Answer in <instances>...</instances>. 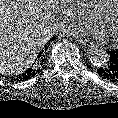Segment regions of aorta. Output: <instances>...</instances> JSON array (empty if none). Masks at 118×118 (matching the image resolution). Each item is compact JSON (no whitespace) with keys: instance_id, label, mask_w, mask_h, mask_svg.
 <instances>
[{"instance_id":"obj_1","label":"aorta","mask_w":118,"mask_h":118,"mask_svg":"<svg viewBox=\"0 0 118 118\" xmlns=\"http://www.w3.org/2000/svg\"><path fill=\"white\" fill-rule=\"evenodd\" d=\"M89 59L95 66H102L108 59V53L101 47H92L89 52Z\"/></svg>"}]
</instances>
